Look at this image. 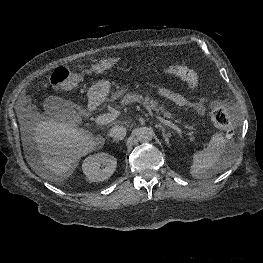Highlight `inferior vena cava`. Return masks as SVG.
Segmentation results:
<instances>
[{"label": "inferior vena cava", "instance_id": "602c4592", "mask_svg": "<svg viewBox=\"0 0 263 263\" xmlns=\"http://www.w3.org/2000/svg\"><path fill=\"white\" fill-rule=\"evenodd\" d=\"M126 133H127L126 128L124 126L116 125V126L112 127L109 135L114 140L119 141V140L124 139V137L126 136Z\"/></svg>", "mask_w": 263, "mask_h": 263}]
</instances>
